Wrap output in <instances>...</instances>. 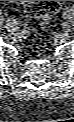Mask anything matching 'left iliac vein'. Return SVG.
Masks as SVG:
<instances>
[{
    "label": "left iliac vein",
    "instance_id": "1",
    "mask_svg": "<svg viewBox=\"0 0 74 122\" xmlns=\"http://www.w3.org/2000/svg\"><path fill=\"white\" fill-rule=\"evenodd\" d=\"M69 13V14H68ZM68 13H65L64 14V18H69L70 17V12H68ZM71 28H72V25L70 24V23H66L64 26H63V30L65 31V32H69L70 30H71Z\"/></svg>",
    "mask_w": 74,
    "mask_h": 122
}]
</instances>
